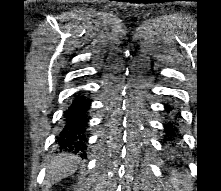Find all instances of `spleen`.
<instances>
[{
	"mask_svg": "<svg viewBox=\"0 0 221 191\" xmlns=\"http://www.w3.org/2000/svg\"><path fill=\"white\" fill-rule=\"evenodd\" d=\"M171 182L174 185L175 188H179L181 185V180L178 178L176 174H173V177L171 178Z\"/></svg>",
	"mask_w": 221,
	"mask_h": 191,
	"instance_id": "1",
	"label": "spleen"
}]
</instances>
